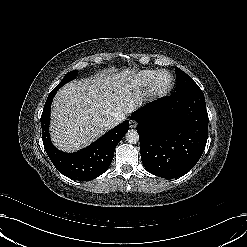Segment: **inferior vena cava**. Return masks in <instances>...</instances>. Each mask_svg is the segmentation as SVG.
<instances>
[{"instance_id": "1", "label": "inferior vena cava", "mask_w": 247, "mask_h": 247, "mask_svg": "<svg viewBox=\"0 0 247 247\" xmlns=\"http://www.w3.org/2000/svg\"><path fill=\"white\" fill-rule=\"evenodd\" d=\"M124 115L123 114H115L113 116L108 117V119L105 122V127L107 129L113 128L117 126L119 123H121L124 120Z\"/></svg>"}]
</instances>
